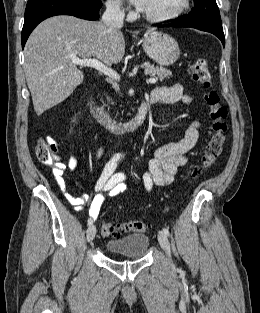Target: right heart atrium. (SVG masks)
<instances>
[{
	"instance_id": "1",
	"label": "right heart atrium",
	"mask_w": 260,
	"mask_h": 313,
	"mask_svg": "<svg viewBox=\"0 0 260 313\" xmlns=\"http://www.w3.org/2000/svg\"><path fill=\"white\" fill-rule=\"evenodd\" d=\"M106 7L108 12L113 15H121L125 11L123 0H107Z\"/></svg>"
}]
</instances>
